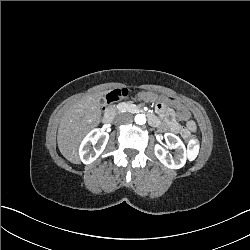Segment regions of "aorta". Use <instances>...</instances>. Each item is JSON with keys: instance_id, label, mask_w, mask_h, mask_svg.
I'll return each mask as SVG.
<instances>
[{"instance_id": "aorta-1", "label": "aorta", "mask_w": 250, "mask_h": 250, "mask_svg": "<svg viewBox=\"0 0 250 250\" xmlns=\"http://www.w3.org/2000/svg\"><path fill=\"white\" fill-rule=\"evenodd\" d=\"M135 123L138 125H143L146 123V116L145 114H137L135 116Z\"/></svg>"}]
</instances>
